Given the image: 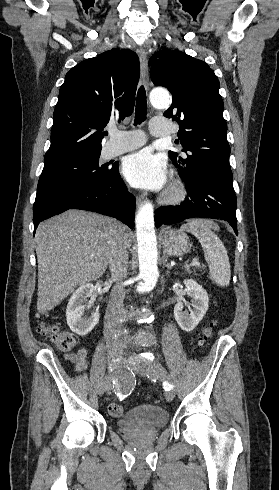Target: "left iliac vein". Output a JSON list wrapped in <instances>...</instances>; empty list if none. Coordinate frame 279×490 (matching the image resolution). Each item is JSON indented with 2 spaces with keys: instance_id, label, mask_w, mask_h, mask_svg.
<instances>
[{
  "instance_id": "1",
  "label": "left iliac vein",
  "mask_w": 279,
  "mask_h": 490,
  "mask_svg": "<svg viewBox=\"0 0 279 490\" xmlns=\"http://www.w3.org/2000/svg\"><path fill=\"white\" fill-rule=\"evenodd\" d=\"M143 363L144 364H147L148 366V372L152 373V374H155V375H159L160 377L164 378V379H167L169 381H173V378L170 376V374L166 371V369L163 367V365H161L159 363V360L158 359H153V358H150V359H144L143 360ZM166 400L168 402H171L174 397H175V391L174 390H170L166 393Z\"/></svg>"
}]
</instances>
